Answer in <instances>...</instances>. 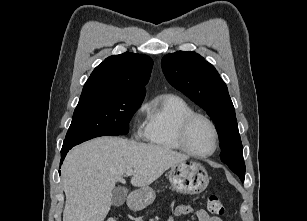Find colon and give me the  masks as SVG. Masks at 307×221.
Listing matches in <instances>:
<instances>
[{"label":"colon","instance_id":"obj_1","mask_svg":"<svg viewBox=\"0 0 307 221\" xmlns=\"http://www.w3.org/2000/svg\"><path fill=\"white\" fill-rule=\"evenodd\" d=\"M207 208H208V211L213 215H224L225 214V207L223 203L215 195L208 196ZM106 221H119V219L117 216H112L108 218Z\"/></svg>","mask_w":307,"mask_h":221}]
</instances>
